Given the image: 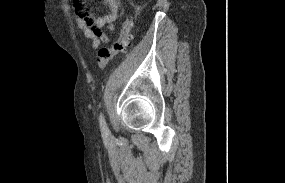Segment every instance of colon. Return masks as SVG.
Masks as SVG:
<instances>
[{
	"instance_id": "1",
	"label": "colon",
	"mask_w": 285,
	"mask_h": 183,
	"mask_svg": "<svg viewBox=\"0 0 285 183\" xmlns=\"http://www.w3.org/2000/svg\"><path fill=\"white\" fill-rule=\"evenodd\" d=\"M75 11L79 9L75 8ZM134 17L132 13H128L122 23V28L119 38L114 41L110 46L100 48L98 51L97 65L100 69L105 68L115 56L125 53L130 46L132 39V27H133Z\"/></svg>"
}]
</instances>
